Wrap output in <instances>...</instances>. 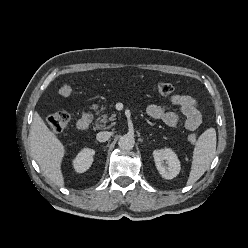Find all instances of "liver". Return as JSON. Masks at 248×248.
I'll list each match as a JSON object with an SVG mask.
<instances>
[{"instance_id": "obj_1", "label": "liver", "mask_w": 248, "mask_h": 248, "mask_svg": "<svg viewBox=\"0 0 248 248\" xmlns=\"http://www.w3.org/2000/svg\"><path fill=\"white\" fill-rule=\"evenodd\" d=\"M30 146L32 156L45 177L57 186H64L61 163L65 147L37 112L34 113L31 125Z\"/></svg>"}]
</instances>
